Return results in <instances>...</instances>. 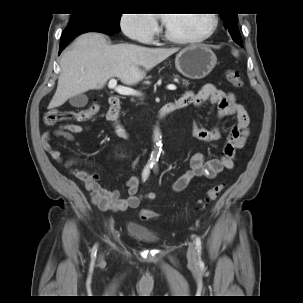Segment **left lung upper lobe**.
<instances>
[{
    "label": "left lung upper lobe",
    "instance_id": "obj_1",
    "mask_svg": "<svg viewBox=\"0 0 303 303\" xmlns=\"http://www.w3.org/2000/svg\"><path fill=\"white\" fill-rule=\"evenodd\" d=\"M220 16L223 19L225 28L229 30L233 40L241 45L240 34L238 32V17L237 14L222 13Z\"/></svg>",
    "mask_w": 303,
    "mask_h": 303
}]
</instances>
